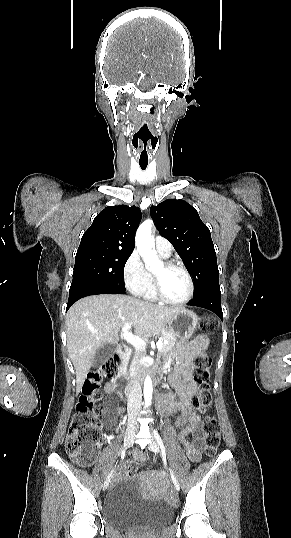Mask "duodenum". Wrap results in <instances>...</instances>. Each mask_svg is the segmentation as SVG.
Here are the masks:
<instances>
[{"mask_svg":"<svg viewBox=\"0 0 291 538\" xmlns=\"http://www.w3.org/2000/svg\"><path fill=\"white\" fill-rule=\"evenodd\" d=\"M118 352L123 359H126L130 350L128 347H121ZM123 372H126V369H123ZM123 377L122 372L116 373V377H113V382H116L117 387L116 395L120 398L130 397L133 394L132 382ZM149 377L153 379L154 387H159V383L162 381V373L151 372ZM139 386H142V383H139Z\"/></svg>","mask_w":291,"mask_h":538,"instance_id":"duodenum-1","label":"duodenum"}]
</instances>
